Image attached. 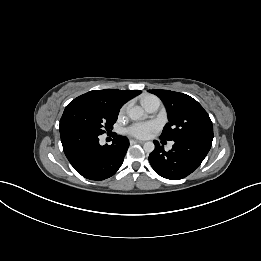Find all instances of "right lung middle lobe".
I'll return each instance as SVG.
<instances>
[{
    "label": "right lung middle lobe",
    "instance_id": "obj_1",
    "mask_svg": "<svg viewBox=\"0 0 261 261\" xmlns=\"http://www.w3.org/2000/svg\"><path fill=\"white\" fill-rule=\"evenodd\" d=\"M119 109L100 97L83 94L70 102L61 117L60 129H81L103 134L112 129Z\"/></svg>",
    "mask_w": 261,
    "mask_h": 261
}]
</instances>
